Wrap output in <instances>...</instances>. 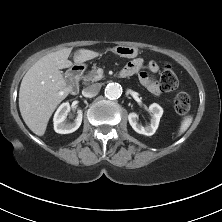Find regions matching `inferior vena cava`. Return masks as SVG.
<instances>
[{"instance_id":"inferior-vena-cava-1","label":"inferior vena cava","mask_w":222,"mask_h":222,"mask_svg":"<svg viewBox=\"0 0 222 222\" xmlns=\"http://www.w3.org/2000/svg\"><path fill=\"white\" fill-rule=\"evenodd\" d=\"M100 89H101L100 84L98 83L92 84L82 90V95L85 97H94L99 93Z\"/></svg>"}]
</instances>
